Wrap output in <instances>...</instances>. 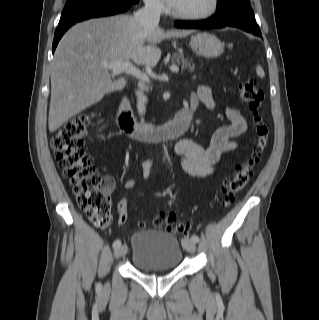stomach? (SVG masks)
I'll list each match as a JSON object with an SVG mask.
<instances>
[{
    "label": "stomach",
    "mask_w": 319,
    "mask_h": 320,
    "mask_svg": "<svg viewBox=\"0 0 319 320\" xmlns=\"http://www.w3.org/2000/svg\"><path fill=\"white\" fill-rule=\"evenodd\" d=\"M189 46L197 55L206 58H216L224 52L221 41L215 35L207 32L192 36Z\"/></svg>",
    "instance_id": "0dacf381"
}]
</instances>
